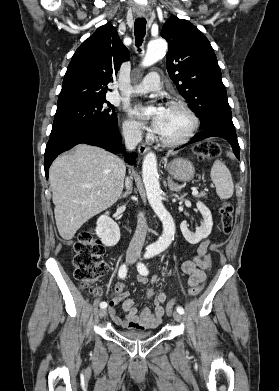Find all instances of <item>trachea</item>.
Returning a JSON list of instances; mask_svg holds the SVG:
<instances>
[{
  "instance_id": "obj_1",
  "label": "trachea",
  "mask_w": 279,
  "mask_h": 391,
  "mask_svg": "<svg viewBox=\"0 0 279 391\" xmlns=\"http://www.w3.org/2000/svg\"><path fill=\"white\" fill-rule=\"evenodd\" d=\"M145 33H146V19L137 18L134 23V34H135V42L137 47H140L142 45ZM139 51L141 50L139 49Z\"/></svg>"
}]
</instances>
